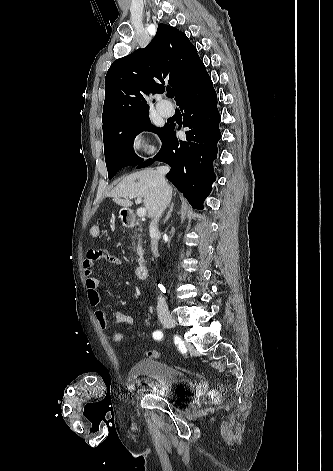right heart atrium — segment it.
I'll return each instance as SVG.
<instances>
[{
	"mask_svg": "<svg viewBox=\"0 0 333 471\" xmlns=\"http://www.w3.org/2000/svg\"><path fill=\"white\" fill-rule=\"evenodd\" d=\"M132 147L134 149H149V147L146 145V143L144 142L143 138L140 136V135H136L133 137L132 139Z\"/></svg>",
	"mask_w": 333,
	"mask_h": 471,
	"instance_id": "obj_1",
	"label": "right heart atrium"
}]
</instances>
